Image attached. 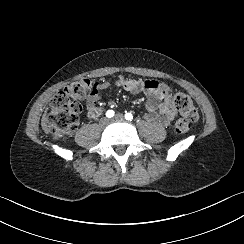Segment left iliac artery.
<instances>
[{"instance_id":"1","label":"left iliac artery","mask_w":244,"mask_h":244,"mask_svg":"<svg viewBox=\"0 0 244 244\" xmlns=\"http://www.w3.org/2000/svg\"><path fill=\"white\" fill-rule=\"evenodd\" d=\"M125 119L131 121L133 119V115L131 113H126L125 114Z\"/></svg>"}]
</instances>
